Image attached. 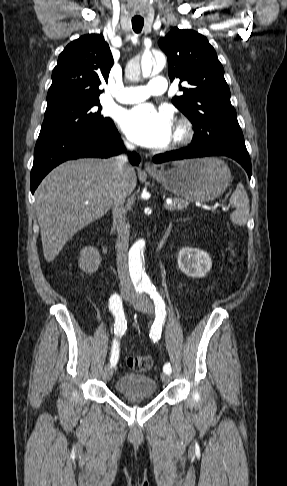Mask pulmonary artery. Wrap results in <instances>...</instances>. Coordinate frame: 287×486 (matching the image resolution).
Masks as SVG:
<instances>
[{
  "mask_svg": "<svg viewBox=\"0 0 287 486\" xmlns=\"http://www.w3.org/2000/svg\"><path fill=\"white\" fill-rule=\"evenodd\" d=\"M167 82L164 77L152 78L146 86H130L122 88L116 95L120 103L131 104L144 101L151 95H161L166 91Z\"/></svg>",
  "mask_w": 287,
  "mask_h": 486,
  "instance_id": "pulmonary-artery-1",
  "label": "pulmonary artery"
}]
</instances>
